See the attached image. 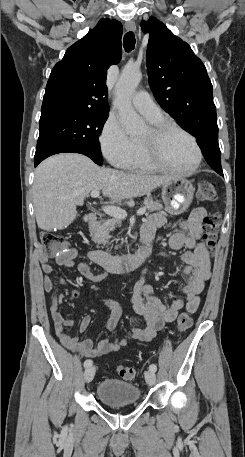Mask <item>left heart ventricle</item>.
<instances>
[{
    "mask_svg": "<svg viewBox=\"0 0 245 457\" xmlns=\"http://www.w3.org/2000/svg\"><path fill=\"white\" fill-rule=\"evenodd\" d=\"M138 141L146 146L152 159L164 166L186 170L195 163V153L191 141L178 131L168 133L163 141L158 143L150 128L138 138Z\"/></svg>",
    "mask_w": 245,
    "mask_h": 457,
    "instance_id": "obj_1",
    "label": "left heart ventricle"
}]
</instances>
